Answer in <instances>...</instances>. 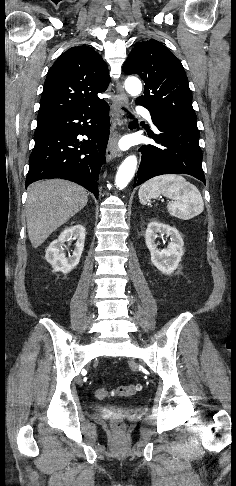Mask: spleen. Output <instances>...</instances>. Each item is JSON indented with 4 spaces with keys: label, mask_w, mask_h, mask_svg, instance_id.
Returning a JSON list of instances; mask_svg holds the SVG:
<instances>
[{
    "label": "spleen",
    "mask_w": 236,
    "mask_h": 486,
    "mask_svg": "<svg viewBox=\"0 0 236 486\" xmlns=\"http://www.w3.org/2000/svg\"><path fill=\"white\" fill-rule=\"evenodd\" d=\"M160 195L172 199L167 205L168 212L178 218L188 220L204 210V202L199 190L176 174H165L154 177L141 185L138 196L145 205Z\"/></svg>",
    "instance_id": "1"
}]
</instances>
